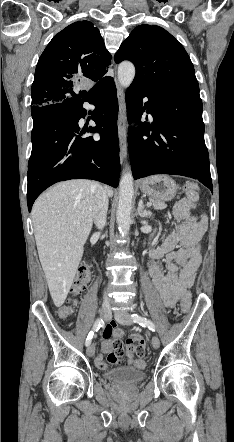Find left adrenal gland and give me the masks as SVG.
Returning <instances> with one entry per match:
<instances>
[{
	"instance_id": "1",
	"label": "left adrenal gland",
	"mask_w": 234,
	"mask_h": 442,
	"mask_svg": "<svg viewBox=\"0 0 234 442\" xmlns=\"http://www.w3.org/2000/svg\"><path fill=\"white\" fill-rule=\"evenodd\" d=\"M138 215L142 218H150L152 216V213L145 209V206L143 204V201L140 200L138 203V209H137Z\"/></svg>"
}]
</instances>
